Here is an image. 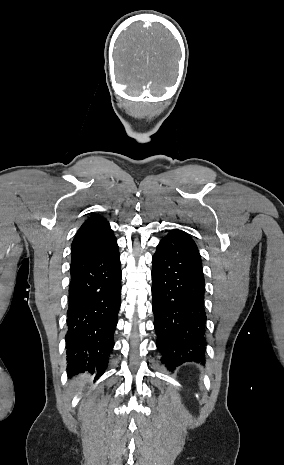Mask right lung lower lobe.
I'll return each mask as SVG.
<instances>
[{
    "mask_svg": "<svg viewBox=\"0 0 284 465\" xmlns=\"http://www.w3.org/2000/svg\"><path fill=\"white\" fill-rule=\"evenodd\" d=\"M121 268L114 237L71 263L66 348L68 374H102L114 346L120 308Z\"/></svg>",
    "mask_w": 284,
    "mask_h": 465,
    "instance_id": "obj_1",
    "label": "right lung lower lobe"
}]
</instances>
